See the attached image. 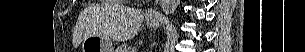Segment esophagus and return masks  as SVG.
Here are the masks:
<instances>
[{"label": "esophagus", "instance_id": "esophagus-1", "mask_svg": "<svg viewBox=\"0 0 305 52\" xmlns=\"http://www.w3.org/2000/svg\"><path fill=\"white\" fill-rule=\"evenodd\" d=\"M158 3V1L155 2V5ZM146 17L148 19H154L155 17H157V11L155 9H151L147 14Z\"/></svg>", "mask_w": 305, "mask_h": 52}]
</instances>
